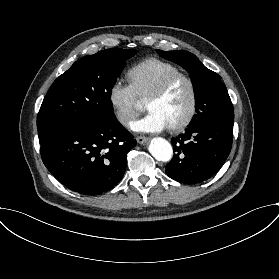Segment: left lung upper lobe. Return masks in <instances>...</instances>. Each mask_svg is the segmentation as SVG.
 <instances>
[{
  "instance_id": "1",
  "label": "left lung upper lobe",
  "mask_w": 279,
  "mask_h": 279,
  "mask_svg": "<svg viewBox=\"0 0 279 279\" xmlns=\"http://www.w3.org/2000/svg\"><path fill=\"white\" fill-rule=\"evenodd\" d=\"M160 56L173 61L190 73L195 93L196 114L189 126L205 120L233 123L234 110L226 86L220 76L206 68L196 56L187 51L156 50Z\"/></svg>"
}]
</instances>
